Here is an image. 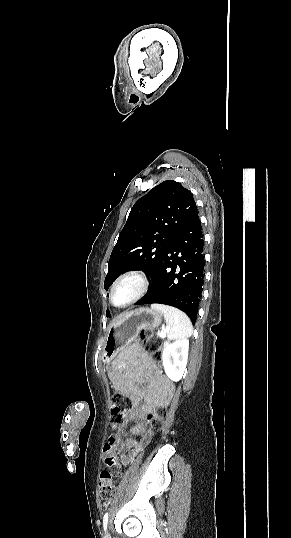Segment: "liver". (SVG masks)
<instances>
[{
	"label": "liver",
	"mask_w": 291,
	"mask_h": 538,
	"mask_svg": "<svg viewBox=\"0 0 291 538\" xmlns=\"http://www.w3.org/2000/svg\"><path fill=\"white\" fill-rule=\"evenodd\" d=\"M126 314H127V313L117 316V317H116V318L109 324V327H108V328H109V329L112 328V327L116 324V322H117L118 320H120L123 316H125Z\"/></svg>",
	"instance_id": "1"
}]
</instances>
